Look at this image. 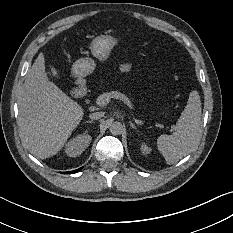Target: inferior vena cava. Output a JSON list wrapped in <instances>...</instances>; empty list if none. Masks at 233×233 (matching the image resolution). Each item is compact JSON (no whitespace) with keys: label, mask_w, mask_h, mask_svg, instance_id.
<instances>
[{"label":"inferior vena cava","mask_w":233,"mask_h":233,"mask_svg":"<svg viewBox=\"0 0 233 233\" xmlns=\"http://www.w3.org/2000/svg\"><path fill=\"white\" fill-rule=\"evenodd\" d=\"M103 116H104V112L97 111V112L91 113L89 117L92 120H98V119L102 118Z\"/></svg>","instance_id":"1"}]
</instances>
